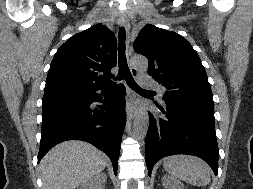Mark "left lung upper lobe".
I'll return each instance as SVG.
<instances>
[{
    "label": "left lung upper lobe",
    "instance_id": "obj_1",
    "mask_svg": "<svg viewBox=\"0 0 253 189\" xmlns=\"http://www.w3.org/2000/svg\"><path fill=\"white\" fill-rule=\"evenodd\" d=\"M134 49L148 58V74L166 88L163 100L182 101L214 110L205 68L185 38L147 24L134 41Z\"/></svg>",
    "mask_w": 253,
    "mask_h": 189
}]
</instances>
